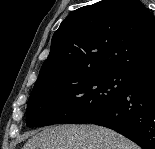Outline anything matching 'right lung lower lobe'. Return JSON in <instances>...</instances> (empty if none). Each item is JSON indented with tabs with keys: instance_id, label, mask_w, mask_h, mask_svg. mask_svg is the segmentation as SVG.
I'll use <instances>...</instances> for the list:
<instances>
[{
	"instance_id": "obj_1",
	"label": "right lung lower lobe",
	"mask_w": 155,
	"mask_h": 149,
	"mask_svg": "<svg viewBox=\"0 0 155 149\" xmlns=\"http://www.w3.org/2000/svg\"><path fill=\"white\" fill-rule=\"evenodd\" d=\"M88 123L113 129L143 149H155V70L136 73L128 90Z\"/></svg>"
}]
</instances>
